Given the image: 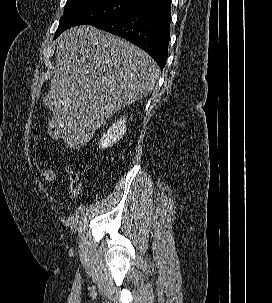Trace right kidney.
I'll return each mask as SVG.
<instances>
[{
  "instance_id": "right-kidney-1",
  "label": "right kidney",
  "mask_w": 272,
  "mask_h": 303,
  "mask_svg": "<svg viewBox=\"0 0 272 303\" xmlns=\"http://www.w3.org/2000/svg\"><path fill=\"white\" fill-rule=\"evenodd\" d=\"M126 129V117L117 120V122L110 126L107 133L101 137L99 141V148L105 149L111 147L123 137V135L126 133Z\"/></svg>"
}]
</instances>
